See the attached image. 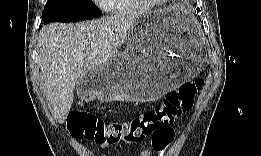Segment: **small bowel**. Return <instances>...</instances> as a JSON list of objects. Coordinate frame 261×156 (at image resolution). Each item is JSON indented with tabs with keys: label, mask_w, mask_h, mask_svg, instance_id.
Returning a JSON list of instances; mask_svg holds the SVG:
<instances>
[{
	"label": "small bowel",
	"mask_w": 261,
	"mask_h": 156,
	"mask_svg": "<svg viewBox=\"0 0 261 156\" xmlns=\"http://www.w3.org/2000/svg\"><path fill=\"white\" fill-rule=\"evenodd\" d=\"M71 116V115H70ZM70 118V117H69ZM154 151H157L154 146H150V147H146L142 150L141 152V156H151L153 154Z\"/></svg>",
	"instance_id": "c3829d8e"
}]
</instances>
